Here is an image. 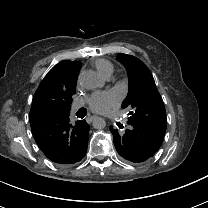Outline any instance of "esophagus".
I'll list each match as a JSON object with an SVG mask.
<instances>
[{
	"label": "esophagus",
	"instance_id": "34e87169",
	"mask_svg": "<svg viewBox=\"0 0 208 208\" xmlns=\"http://www.w3.org/2000/svg\"><path fill=\"white\" fill-rule=\"evenodd\" d=\"M95 118H96L95 115H91V116H89V117L87 118V121L90 123V122H92Z\"/></svg>",
	"mask_w": 208,
	"mask_h": 208
}]
</instances>
